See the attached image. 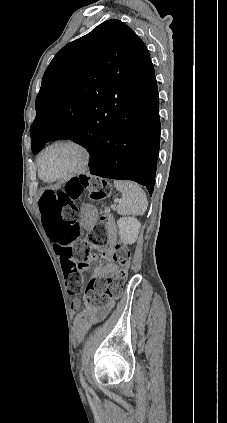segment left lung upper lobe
Masks as SVG:
<instances>
[{"mask_svg": "<svg viewBox=\"0 0 227 423\" xmlns=\"http://www.w3.org/2000/svg\"><path fill=\"white\" fill-rule=\"evenodd\" d=\"M155 81L144 42L111 19L64 46L47 67L31 125L32 151L95 133L108 112H139Z\"/></svg>", "mask_w": 227, "mask_h": 423, "instance_id": "5c2ea615", "label": "left lung upper lobe"}]
</instances>
